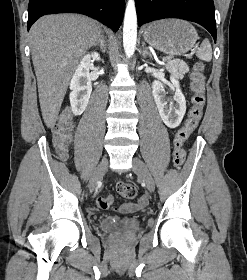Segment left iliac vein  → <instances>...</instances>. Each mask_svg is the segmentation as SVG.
<instances>
[{
  "instance_id": "1",
  "label": "left iliac vein",
  "mask_w": 247,
  "mask_h": 280,
  "mask_svg": "<svg viewBox=\"0 0 247 280\" xmlns=\"http://www.w3.org/2000/svg\"><path fill=\"white\" fill-rule=\"evenodd\" d=\"M133 171L137 174L147 186V189L150 192H153L155 189V184L152 175L150 174L147 166L139 158H133Z\"/></svg>"
}]
</instances>
